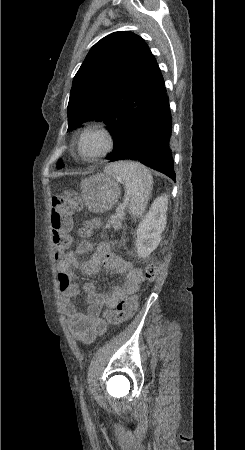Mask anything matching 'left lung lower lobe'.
I'll list each match as a JSON object with an SVG mask.
<instances>
[{"mask_svg":"<svg viewBox=\"0 0 245 450\" xmlns=\"http://www.w3.org/2000/svg\"><path fill=\"white\" fill-rule=\"evenodd\" d=\"M172 116L165 83L144 108L124 148L106 157L110 161L132 159L175 180L170 148Z\"/></svg>","mask_w":245,"mask_h":450,"instance_id":"0a47b994","label":"left lung lower lobe"}]
</instances>
